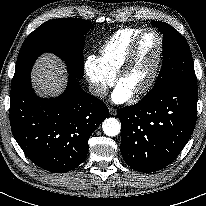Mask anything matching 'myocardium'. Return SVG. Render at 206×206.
Masks as SVG:
<instances>
[{
  "label": "myocardium",
  "instance_id": "1",
  "mask_svg": "<svg viewBox=\"0 0 206 206\" xmlns=\"http://www.w3.org/2000/svg\"><path fill=\"white\" fill-rule=\"evenodd\" d=\"M149 33L154 34L158 39V54L148 80L145 82L144 85H142L140 88L133 92V94L137 97L146 94L154 86L158 78L165 51L164 40L162 35L157 30L152 28L144 29L139 35L136 36V38L132 42L127 54L125 55L116 72V81L120 83L124 74L128 71L131 64L133 63L142 39L145 35Z\"/></svg>",
  "mask_w": 206,
  "mask_h": 206
}]
</instances>
